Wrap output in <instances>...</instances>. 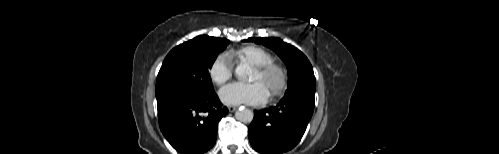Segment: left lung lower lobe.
<instances>
[{
	"instance_id": "0a47b994",
	"label": "left lung lower lobe",
	"mask_w": 499,
	"mask_h": 154,
	"mask_svg": "<svg viewBox=\"0 0 499 154\" xmlns=\"http://www.w3.org/2000/svg\"><path fill=\"white\" fill-rule=\"evenodd\" d=\"M314 94L294 92L284 96L276 106L254 111L249 126L253 149L262 154H279L294 148L312 117Z\"/></svg>"
}]
</instances>
